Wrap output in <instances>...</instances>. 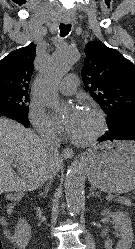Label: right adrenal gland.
Masks as SVG:
<instances>
[{"mask_svg":"<svg viewBox=\"0 0 135 249\" xmlns=\"http://www.w3.org/2000/svg\"><path fill=\"white\" fill-rule=\"evenodd\" d=\"M49 187H50V182L47 183V186H46V188H45V191H44L43 193H41V195H42L43 197H45V196L47 195V193H48V191H49Z\"/></svg>","mask_w":135,"mask_h":249,"instance_id":"obj_1","label":"right adrenal gland"}]
</instances>
